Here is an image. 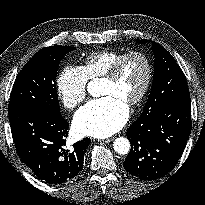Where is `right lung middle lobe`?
I'll return each instance as SVG.
<instances>
[{
  "label": "right lung middle lobe",
  "instance_id": "dd1d6c3e",
  "mask_svg": "<svg viewBox=\"0 0 205 205\" xmlns=\"http://www.w3.org/2000/svg\"><path fill=\"white\" fill-rule=\"evenodd\" d=\"M74 49L70 46H50L39 50L17 76L8 109L33 107L60 116L56 74L64 55Z\"/></svg>",
  "mask_w": 205,
  "mask_h": 205
}]
</instances>
